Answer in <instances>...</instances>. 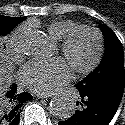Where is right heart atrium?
<instances>
[{"label": "right heart atrium", "instance_id": "right-heart-atrium-1", "mask_svg": "<svg viewBox=\"0 0 125 125\" xmlns=\"http://www.w3.org/2000/svg\"><path fill=\"white\" fill-rule=\"evenodd\" d=\"M27 37L25 26L15 29L7 40V47L13 58H20L24 54V46Z\"/></svg>", "mask_w": 125, "mask_h": 125}]
</instances>
